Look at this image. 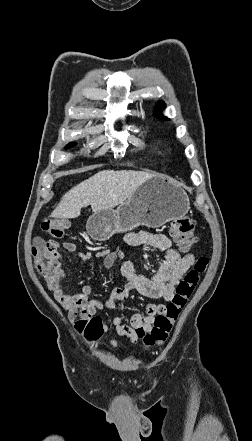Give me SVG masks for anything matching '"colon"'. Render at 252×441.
<instances>
[{"instance_id":"obj_1","label":"colon","mask_w":252,"mask_h":441,"mask_svg":"<svg viewBox=\"0 0 252 441\" xmlns=\"http://www.w3.org/2000/svg\"><path fill=\"white\" fill-rule=\"evenodd\" d=\"M68 228V222L63 219L51 218L43 223V230L49 235L59 238ZM195 226L190 218L184 217L175 220L170 226V235L183 250L191 249L196 238ZM59 244L56 241H39L33 247L34 264L40 275L46 281L58 282L60 278ZM208 266L206 256H201L193 268L178 283L175 294L165 306L163 314L155 317L150 332L137 329L136 335L146 347L162 345L168 338L173 324L179 317L182 309L186 306L189 298L199 283L201 276ZM105 324L100 317H93L87 323L84 334L90 340H97L104 332Z\"/></svg>"}]
</instances>
